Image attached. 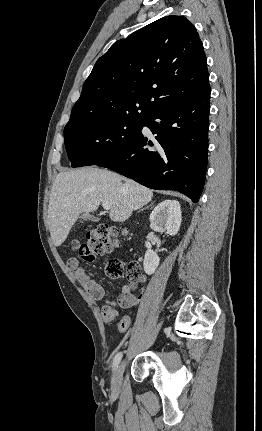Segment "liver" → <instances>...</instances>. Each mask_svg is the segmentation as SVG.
<instances>
[{
    "label": "liver",
    "mask_w": 262,
    "mask_h": 431,
    "mask_svg": "<svg viewBox=\"0 0 262 431\" xmlns=\"http://www.w3.org/2000/svg\"><path fill=\"white\" fill-rule=\"evenodd\" d=\"M152 190L123 176L97 167L60 172L54 180L48 206V226L55 246L68 237L83 212L95 211L101 202L111 204L110 219L127 220L152 200Z\"/></svg>",
    "instance_id": "1"
}]
</instances>
